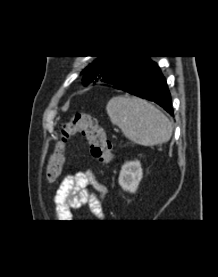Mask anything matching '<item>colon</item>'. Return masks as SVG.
I'll return each mask as SVG.
<instances>
[{
    "instance_id": "colon-1",
    "label": "colon",
    "mask_w": 218,
    "mask_h": 277,
    "mask_svg": "<svg viewBox=\"0 0 218 277\" xmlns=\"http://www.w3.org/2000/svg\"><path fill=\"white\" fill-rule=\"evenodd\" d=\"M75 134H81L84 137L92 157L100 163L107 164L113 159L112 144L106 138L105 132L96 118L88 113H77L63 125L61 141L56 145L47 167V176L50 180H54L60 175L64 142Z\"/></svg>"
}]
</instances>
